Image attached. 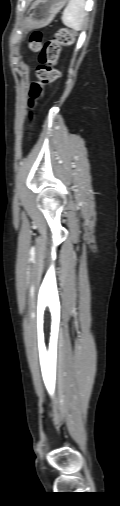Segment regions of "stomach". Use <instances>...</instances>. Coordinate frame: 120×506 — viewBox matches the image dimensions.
I'll return each mask as SVG.
<instances>
[{
    "mask_svg": "<svg viewBox=\"0 0 120 506\" xmlns=\"http://www.w3.org/2000/svg\"><path fill=\"white\" fill-rule=\"evenodd\" d=\"M66 3L67 0H35L27 13L26 29L48 25Z\"/></svg>",
    "mask_w": 120,
    "mask_h": 506,
    "instance_id": "0dacf381",
    "label": "stomach"
}]
</instances>
